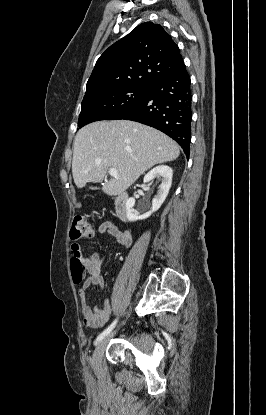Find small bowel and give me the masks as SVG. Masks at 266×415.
<instances>
[{
  "label": "small bowel",
  "mask_w": 266,
  "mask_h": 415,
  "mask_svg": "<svg viewBox=\"0 0 266 415\" xmlns=\"http://www.w3.org/2000/svg\"><path fill=\"white\" fill-rule=\"evenodd\" d=\"M99 233L108 234L116 239V241L126 248L132 245V236L128 231L120 230L111 222H104L98 228ZM71 249L73 253L80 252V245L72 243ZM83 263L88 271V276L84 280L81 289L79 290L81 315L84 324L91 329L103 327L112 312L110 301L106 299L101 307H90L87 302L85 291L90 287L102 289L104 287V280L101 276V269L104 264V258L99 253H91L83 258Z\"/></svg>",
  "instance_id": "1"
}]
</instances>
